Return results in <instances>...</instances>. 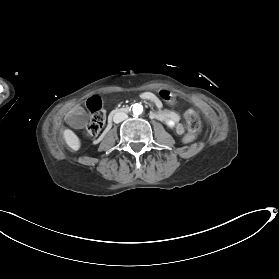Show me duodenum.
<instances>
[{"mask_svg":"<svg viewBox=\"0 0 279 279\" xmlns=\"http://www.w3.org/2000/svg\"><path fill=\"white\" fill-rule=\"evenodd\" d=\"M124 114H130L132 112V109L130 107H124L123 109L121 107H118L117 109H113L111 112H109L106 116L105 119L106 124L103 127V130L96 136V138L94 139V142L96 144H99L104 137L107 135V132L110 130V128L113 126V121L111 120L114 116H117L118 114L121 113Z\"/></svg>","mask_w":279,"mask_h":279,"instance_id":"1","label":"duodenum"}]
</instances>
